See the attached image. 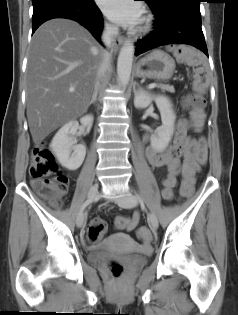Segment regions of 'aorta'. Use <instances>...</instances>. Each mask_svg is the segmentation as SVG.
<instances>
[{
    "label": "aorta",
    "instance_id": "aorta-1",
    "mask_svg": "<svg viewBox=\"0 0 238 315\" xmlns=\"http://www.w3.org/2000/svg\"><path fill=\"white\" fill-rule=\"evenodd\" d=\"M134 52L135 48L131 40L125 41L120 49L117 60V75L122 87H126L129 84Z\"/></svg>",
    "mask_w": 238,
    "mask_h": 315
}]
</instances>
